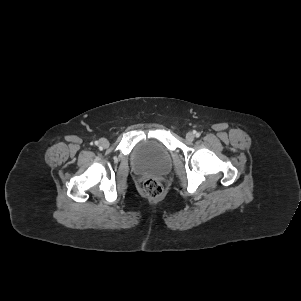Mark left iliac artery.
Returning a JSON list of instances; mask_svg holds the SVG:
<instances>
[{
    "mask_svg": "<svg viewBox=\"0 0 301 301\" xmlns=\"http://www.w3.org/2000/svg\"><path fill=\"white\" fill-rule=\"evenodd\" d=\"M195 134H196L197 137L199 136V133H198V132H196Z\"/></svg>",
    "mask_w": 301,
    "mask_h": 301,
    "instance_id": "left-iliac-artery-1",
    "label": "left iliac artery"
}]
</instances>
